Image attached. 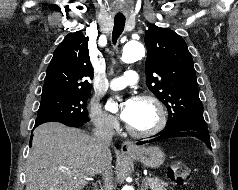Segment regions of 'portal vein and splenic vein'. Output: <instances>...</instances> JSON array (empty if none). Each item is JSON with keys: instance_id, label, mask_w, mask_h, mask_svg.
<instances>
[{"instance_id": "portal-vein-and-splenic-vein-1", "label": "portal vein and splenic vein", "mask_w": 238, "mask_h": 190, "mask_svg": "<svg viewBox=\"0 0 238 190\" xmlns=\"http://www.w3.org/2000/svg\"><path fill=\"white\" fill-rule=\"evenodd\" d=\"M150 181H151V178H148V179H147V182H150Z\"/></svg>"}]
</instances>
